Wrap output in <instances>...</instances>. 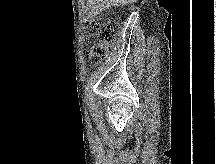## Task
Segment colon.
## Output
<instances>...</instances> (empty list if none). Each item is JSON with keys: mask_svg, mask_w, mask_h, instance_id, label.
Instances as JSON below:
<instances>
[{"mask_svg": "<svg viewBox=\"0 0 216 164\" xmlns=\"http://www.w3.org/2000/svg\"><path fill=\"white\" fill-rule=\"evenodd\" d=\"M89 30L97 37V41L90 50V60L98 64L102 62L109 52V47L114 43L117 36V22L93 19L89 22Z\"/></svg>", "mask_w": 216, "mask_h": 164, "instance_id": "obj_1", "label": "colon"}]
</instances>
